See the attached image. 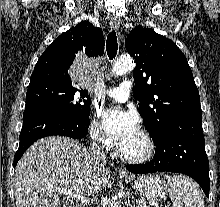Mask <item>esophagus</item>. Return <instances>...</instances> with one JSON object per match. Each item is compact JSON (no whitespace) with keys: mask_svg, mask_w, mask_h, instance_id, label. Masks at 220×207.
Wrapping results in <instances>:
<instances>
[{"mask_svg":"<svg viewBox=\"0 0 220 207\" xmlns=\"http://www.w3.org/2000/svg\"><path fill=\"white\" fill-rule=\"evenodd\" d=\"M109 20H110V25H111L112 28H114V29L119 28V26H120V19H119V17L113 15V16L110 17ZM118 171L122 175H127V172H126V170L124 168H119Z\"/></svg>","mask_w":220,"mask_h":207,"instance_id":"obj_1","label":"esophagus"}]
</instances>
